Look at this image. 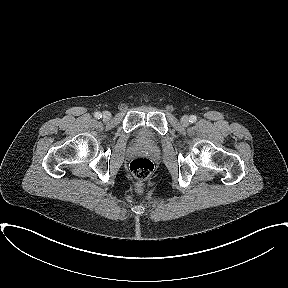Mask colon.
<instances>
[{"instance_id": "1", "label": "colon", "mask_w": 288, "mask_h": 288, "mask_svg": "<svg viewBox=\"0 0 288 288\" xmlns=\"http://www.w3.org/2000/svg\"><path fill=\"white\" fill-rule=\"evenodd\" d=\"M130 170L136 179V190L141 192L145 180L152 174L154 170L153 162L144 157H139L131 161Z\"/></svg>"}]
</instances>
